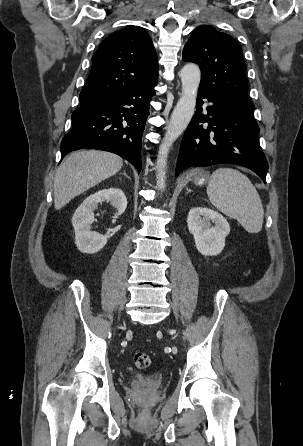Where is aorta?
Listing matches in <instances>:
<instances>
[{
	"label": "aorta",
	"instance_id": "1",
	"mask_svg": "<svg viewBox=\"0 0 303 446\" xmlns=\"http://www.w3.org/2000/svg\"><path fill=\"white\" fill-rule=\"evenodd\" d=\"M182 93L171 114L156 161L157 189L165 188L167 156L174 141L185 131L195 111L201 72L197 65L186 64L180 72Z\"/></svg>",
	"mask_w": 303,
	"mask_h": 446
}]
</instances>
